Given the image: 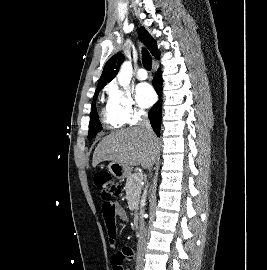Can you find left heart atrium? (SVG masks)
<instances>
[{
  "instance_id": "39dd6f15",
  "label": "left heart atrium",
  "mask_w": 267,
  "mask_h": 270,
  "mask_svg": "<svg viewBox=\"0 0 267 270\" xmlns=\"http://www.w3.org/2000/svg\"><path fill=\"white\" fill-rule=\"evenodd\" d=\"M136 99L143 108L151 106L155 101V93L152 87L147 83H140L135 89Z\"/></svg>"
}]
</instances>
